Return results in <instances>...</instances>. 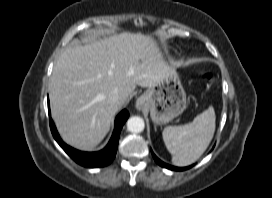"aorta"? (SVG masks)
<instances>
[{"label": "aorta", "mask_w": 272, "mask_h": 198, "mask_svg": "<svg viewBox=\"0 0 272 198\" xmlns=\"http://www.w3.org/2000/svg\"><path fill=\"white\" fill-rule=\"evenodd\" d=\"M145 124L141 117L133 116L127 121V129L131 133H140L144 130Z\"/></svg>", "instance_id": "1"}]
</instances>
